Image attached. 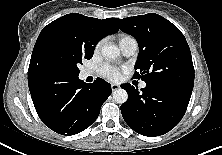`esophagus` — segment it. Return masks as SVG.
Returning <instances> with one entry per match:
<instances>
[{
  "label": "esophagus",
  "mask_w": 222,
  "mask_h": 155,
  "mask_svg": "<svg viewBox=\"0 0 222 155\" xmlns=\"http://www.w3.org/2000/svg\"><path fill=\"white\" fill-rule=\"evenodd\" d=\"M119 88H120V86L118 84H111L112 91H116Z\"/></svg>",
  "instance_id": "1"
}]
</instances>
